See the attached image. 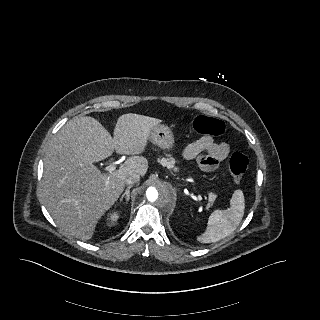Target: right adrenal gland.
Here are the masks:
<instances>
[{
  "label": "right adrenal gland",
  "mask_w": 320,
  "mask_h": 320,
  "mask_svg": "<svg viewBox=\"0 0 320 320\" xmlns=\"http://www.w3.org/2000/svg\"><path fill=\"white\" fill-rule=\"evenodd\" d=\"M133 185H129L127 187V189L125 190V192L122 194L121 198H120V202L123 201L124 198H126V203H128L129 199H130V189L132 188Z\"/></svg>",
  "instance_id": "right-adrenal-gland-1"
}]
</instances>
